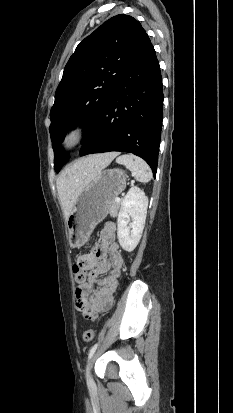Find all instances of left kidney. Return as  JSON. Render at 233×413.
Masks as SVG:
<instances>
[{
  "label": "left kidney",
  "mask_w": 233,
  "mask_h": 413,
  "mask_svg": "<svg viewBox=\"0 0 233 413\" xmlns=\"http://www.w3.org/2000/svg\"><path fill=\"white\" fill-rule=\"evenodd\" d=\"M147 207L148 197L138 187H132L121 203L117 236L120 246L127 252H132L141 239Z\"/></svg>",
  "instance_id": "left-kidney-1"
}]
</instances>
